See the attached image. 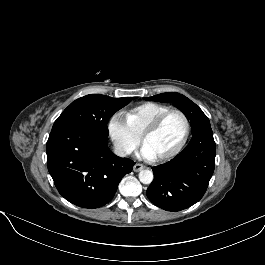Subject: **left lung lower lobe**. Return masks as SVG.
Here are the masks:
<instances>
[{"label": "left lung lower lobe", "mask_w": 265, "mask_h": 265, "mask_svg": "<svg viewBox=\"0 0 265 265\" xmlns=\"http://www.w3.org/2000/svg\"><path fill=\"white\" fill-rule=\"evenodd\" d=\"M216 148L210 126L192 133L186 148L175 158L152 167L154 180L146 194L156 206L181 211L205 194L215 167Z\"/></svg>", "instance_id": "obj_1"}]
</instances>
